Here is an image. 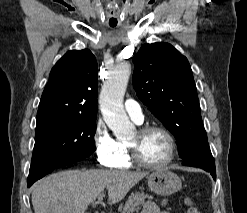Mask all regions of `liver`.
<instances>
[{
  "instance_id": "obj_1",
  "label": "liver",
  "mask_w": 247,
  "mask_h": 213,
  "mask_svg": "<svg viewBox=\"0 0 247 213\" xmlns=\"http://www.w3.org/2000/svg\"><path fill=\"white\" fill-rule=\"evenodd\" d=\"M147 172L68 170L52 174L32 188L35 213H85L105 188L109 204L120 202Z\"/></svg>"
}]
</instances>
